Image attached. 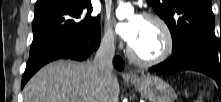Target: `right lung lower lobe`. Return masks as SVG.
<instances>
[{
  "mask_svg": "<svg viewBox=\"0 0 221 102\" xmlns=\"http://www.w3.org/2000/svg\"><path fill=\"white\" fill-rule=\"evenodd\" d=\"M100 30L91 38L84 37H62L56 39L34 54L29 56L25 72L23 74L21 88L26 82L45 64L57 59H74L85 60L89 57L100 44ZM114 65L118 70L123 69V61L119 57H115Z\"/></svg>",
  "mask_w": 221,
  "mask_h": 102,
  "instance_id": "1",
  "label": "right lung lower lobe"
}]
</instances>
